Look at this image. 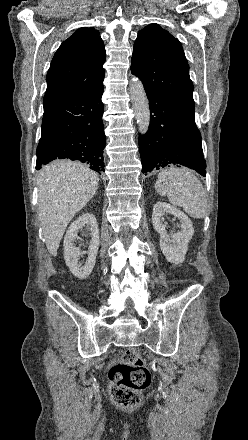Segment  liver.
<instances>
[{
    "label": "liver",
    "mask_w": 248,
    "mask_h": 440,
    "mask_svg": "<svg viewBox=\"0 0 248 440\" xmlns=\"http://www.w3.org/2000/svg\"><path fill=\"white\" fill-rule=\"evenodd\" d=\"M98 183V175L76 161L58 160L40 170L38 214L51 255H57L67 225L95 195Z\"/></svg>",
    "instance_id": "obj_1"
}]
</instances>
